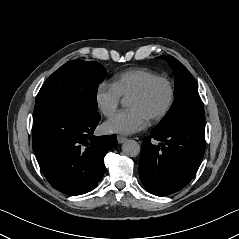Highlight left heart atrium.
Returning a JSON list of instances; mask_svg holds the SVG:
<instances>
[{
    "label": "left heart atrium",
    "instance_id": "left-heart-atrium-1",
    "mask_svg": "<svg viewBox=\"0 0 239 239\" xmlns=\"http://www.w3.org/2000/svg\"><path fill=\"white\" fill-rule=\"evenodd\" d=\"M145 126V117L134 108H127L111 117L106 127L110 132L134 133Z\"/></svg>",
    "mask_w": 239,
    "mask_h": 239
}]
</instances>
